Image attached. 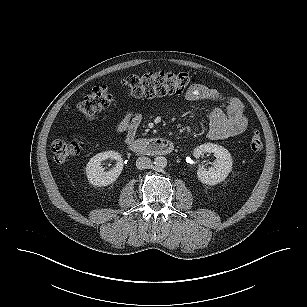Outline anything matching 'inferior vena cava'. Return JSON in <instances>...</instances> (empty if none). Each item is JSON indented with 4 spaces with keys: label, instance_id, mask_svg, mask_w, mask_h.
<instances>
[{
    "label": "inferior vena cava",
    "instance_id": "inferior-vena-cava-1",
    "mask_svg": "<svg viewBox=\"0 0 307 307\" xmlns=\"http://www.w3.org/2000/svg\"><path fill=\"white\" fill-rule=\"evenodd\" d=\"M136 167L140 170L152 167L151 159L146 156H141L136 161Z\"/></svg>",
    "mask_w": 307,
    "mask_h": 307
}]
</instances>
